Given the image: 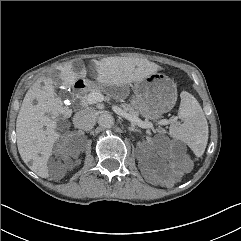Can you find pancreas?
<instances>
[{"instance_id": "cf45deb5", "label": "pancreas", "mask_w": 241, "mask_h": 241, "mask_svg": "<svg viewBox=\"0 0 241 241\" xmlns=\"http://www.w3.org/2000/svg\"><path fill=\"white\" fill-rule=\"evenodd\" d=\"M92 92H99V93H101V88L99 86H93L92 89L90 90V93H92ZM90 93H85L83 96L80 97L81 105L83 107H86L89 104H92L89 101V94ZM122 108L128 114L136 116V117L138 116L137 111H135L129 104H122Z\"/></svg>"}]
</instances>
